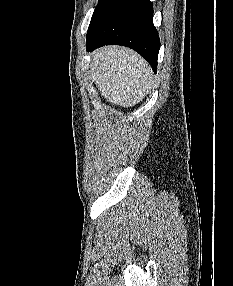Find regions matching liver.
<instances>
[{
    "label": "liver",
    "mask_w": 233,
    "mask_h": 286,
    "mask_svg": "<svg viewBox=\"0 0 233 286\" xmlns=\"http://www.w3.org/2000/svg\"><path fill=\"white\" fill-rule=\"evenodd\" d=\"M90 72L101 95L122 107L135 106L142 101L153 81L148 63L124 47L110 46L94 52Z\"/></svg>",
    "instance_id": "liver-1"
}]
</instances>
